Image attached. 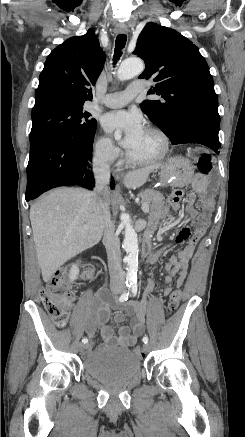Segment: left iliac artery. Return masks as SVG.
<instances>
[{
  "label": "left iliac artery",
  "instance_id": "1",
  "mask_svg": "<svg viewBox=\"0 0 245 437\" xmlns=\"http://www.w3.org/2000/svg\"><path fill=\"white\" fill-rule=\"evenodd\" d=\"M137 288H138V286H137V282H136V281H134V282H132V283L130 284V289H131V292H132L133 296H136V294H137ZM142 341H143L144 343H147V342H148V337H147V336H144L143 339H142Z\"/></svg>",
  "mask_w": 245,
  "mask_h": 437
}]
</instances>
